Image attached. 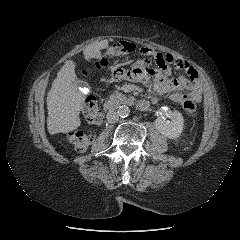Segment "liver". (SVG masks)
<instances>
[{"instance_id": "obj_1", "label": "liver", "mask_w": 240, "mask_h": 240, "mask_svg": "<svg viewBox=\"0 0 240 240\" xmlns=\"http://www.w3.org/2000/svg\"><path fill=\"white\" fill-rule=\"evenodd\" d=\"M108 45L109 42L106 39L88 45L83 50L84 58L88 61L100 59L101 50L108 48ZM75 66L72 60L66 61L48 92L47 129L51 135L68 133L77 129L81 124L79 114L83 108L85 96L76 85Z\"/></svg>"}]
</instances>
